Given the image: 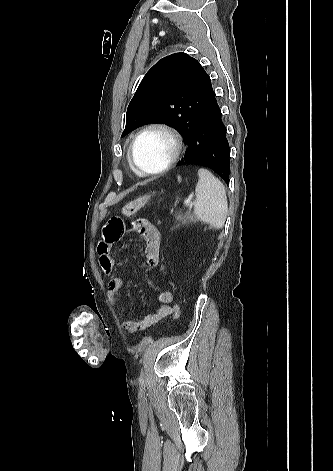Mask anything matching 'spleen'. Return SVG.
<instances>
[{
	"instance_id": "1",
	"label": "spleen",
	"mask_w": 333,
	"mask_h": 471,
	"mask_svg": "<svg viewBox=\"0 0 333 471\" xmlns=\"http://www.w3.org/2000/svg\"><path fill=\"white\" fill-rule=\"evenodd\" d=\"M199 180L195 189L194 213L201 222L215 230L224 226L228 203L225 187L209 170H198Z\"/></svg>"
}]
</instances>
